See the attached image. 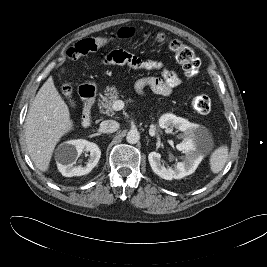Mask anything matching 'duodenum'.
Instances as JSON below:
<instances>
[{
  "instance_id": "duodenum-1",
  "label": "duodenum",
  "mask_w": 267,
  "mask_h": 267,
  "mask_svg": "<svg viewBox=\"0 0 267 267\" xmlns=\"http://www.w3.org/2000/svg\"><path fill=\"white\" fill-rule=\"evenodd\" d=\"M80 95L83 100L81 124L83 127H89L92 122L91 111L97 95V90L93 85H84L80 88Z\"/></svg>"
}]
</instances>
